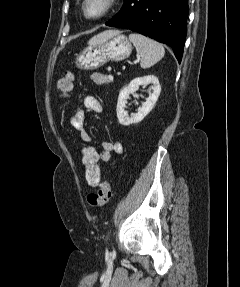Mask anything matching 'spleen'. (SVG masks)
Returning a JSON list of instances; mask_svg holds the SVG:
<instances>
[{
  "mask_svg": "<svg viewBox=\"0 0 240 287\" xmlns=\"http://www.w3.org/2000/svg\"><path fill=\"white\" fill-rule=\"evenodd\" d=\"M129 40L141 56L140 66L143 69L150 68L164 57L165 50L163 45L153 39L139 33H131Z\"/></svg>",
  "mask_w": 240,
  "mask_h": 287,
  "instance_id": "spleen-1",
  "label": "spleen"
}]
</instances>
